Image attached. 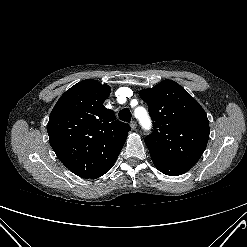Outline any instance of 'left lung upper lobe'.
<instances>
[{
    "mask_svg": "<svg viewBox=\"0 0 247 247\" xmlns=\"http://www.w3.org/2000/svg\"><path fill=\"white\" fill-rule=\"evenodd\" d=\"M154 121L145 138L150 155L194 166L209 139L208 118L201 105L178 83L164 80L140 92Z\"/></svg>",
    "mask_w": 247,
    "mask_h": 247,
    "instance_id": "left-lung-upper-lobe-1",
    "label": "left lung upper lobe"
}]
</instances>
